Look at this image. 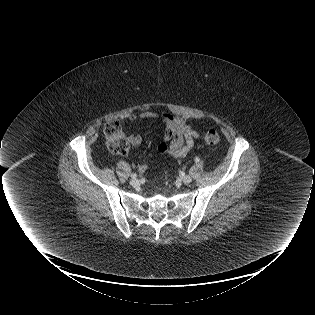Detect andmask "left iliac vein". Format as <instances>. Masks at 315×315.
Masks as SVG:
<instances>
[{
  "instance_id": "obj_1",
  "label": "left iliac vein",
  "mask_w": 315,
  "mask_h": 315,
  "mask_svg": "<svg viewBox=\"0 0 315 315\" xmlns=\"http://www.w3.org/2000/svg\"><path fill=\"white\" fill-rule=\"evenodd\" d=\"M181 181L184 184H189L192 181V177L190 175H183L181 176Z\"/></svg>"
}]
</instances>
